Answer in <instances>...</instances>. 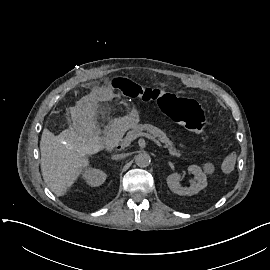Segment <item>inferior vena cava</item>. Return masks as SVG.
I'll return each instance as SVG.
<instances>
[{
  "label": "inferior vena cava",
  "mask_w": 270,
  "mask_h": 270,
  "mask_svg": "<svg viewBox=\"0 0 270 270\" xmlns=\"http://www.w3.org/2000/svg\"><path fill=\"white\" fill-rule=\"evenodd\" d=\"M127 156V154H118V155H113L112 159L113 160H119V159H123Z\"/></svg>",
  "instance_id": "obj_1"
}]
</instances>
